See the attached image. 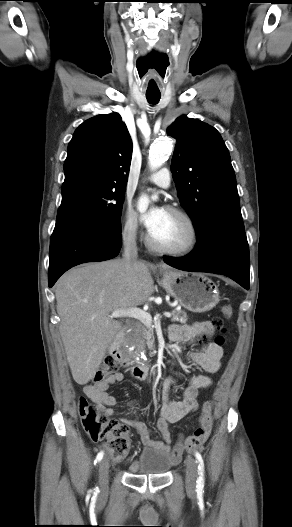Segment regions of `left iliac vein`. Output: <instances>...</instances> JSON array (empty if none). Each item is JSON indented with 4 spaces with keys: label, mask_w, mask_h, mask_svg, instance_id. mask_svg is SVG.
<instances>
[{
    "label": "left iliac vein",
    "mask_w": 292,
    "mask_h": 527,
    "mask_svg": "<svg viewBox=\"0 0 292 527\" xmlns=\"http://www.w3.org/2000/svg\"><path fill=\"white\" fill-rule=\"evenodd\" d=\"M186 489L193 493L196 488V481L198 478L197 462L191 456H188L186 461Z\"/></svg>",
    "instance_id": "obj_1"
}]
</instances>
